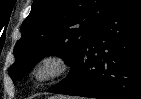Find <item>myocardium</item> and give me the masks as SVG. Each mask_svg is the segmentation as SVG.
Returning <instances> with one entry per match:
<instances>
[{
    "label": "myocardium",
    "instance_id": "myocardium-1",
    "mask_svg": "<svg viewBox=\"0 0 141 99\" xmlns=\"http://www.w3.org/2000/svg\"><path fill=\"white\" fill-rule=\"evenodd\" d=\"M44 68L50 71L41 76L40 72ZM71 70V61L62 52H48L41 55L33 64L30 77L38 85H46L66 76Z\"/></svg>",
    "mask_w": 141,
    "mask_h": 99
}]
</instances>
